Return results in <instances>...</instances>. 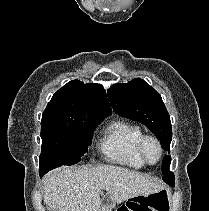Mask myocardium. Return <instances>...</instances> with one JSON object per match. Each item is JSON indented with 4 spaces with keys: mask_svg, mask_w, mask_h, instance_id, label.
Wrapping results in <instances>:
<instances>
[{
    "mask_svg": "<svg viewBox=\"0 0 209 211\" xmlns=\"http://www.w3.org/2000/svg\"><path fill=\"white\" fill-rule=\"evenodd\" d=\"M148 143H153L157 147L158 157L155 161L149 160V158L146 155L145 147ZM138 153L145 164L155 165L162 158L163 148H162L161 142L159 141L157 137L153 135H149V134H143V136L140 138L139 143H138Z\"/></svg>",
    "mask_w": 209,
    "mask_h": 211,
    "instance_id": "myocardium-1",
    "label": "myocardium"
}]
</instances>
